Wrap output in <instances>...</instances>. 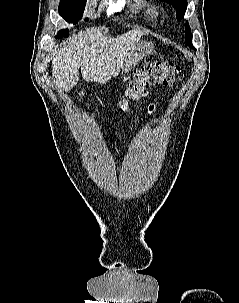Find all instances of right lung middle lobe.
<instances>
[{
    "instance_id": "right-lung-middle-lobe-1",
    "label": "right lung middle lobe",
    "mask_w": 239,
    "mask_h": 303,
    "mask_svg": "<svg viewBox=\"0 0 239 303\" xmlns=\"http://www.w3.org/2000/svg\"><path fill=\"white\" fill-rule=\"evenodd\" d=\"M86 0H60L59 14L69 23H77L82 18ZM88 20V19H86ZM69 31L61 30L56 38L67 37Z\"/></svg>"
}]
</instances>
